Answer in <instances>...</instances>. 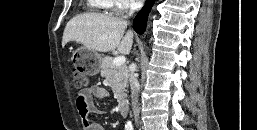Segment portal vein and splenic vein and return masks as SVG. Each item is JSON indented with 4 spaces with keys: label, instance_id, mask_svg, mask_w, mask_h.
<instances>
[{
    "label": "portal vein and splenic vein",
    "instance_id": "portal-vein-and-splenic-vein-1",
    "mask_svg": "<svg viewBox=\"0 0 257 130\" xmlns=\"http://www.w3.org/2000/svg\"><path fill=\"white\" fill-rule=\"evenodd\" d=\"M125 61H126V59L124 56H118V57L114 58L113 65L121 66L125 63Z\"/></svg>",
    "mask_w": 257,
    "mask_h": 130
}]
</instances>
